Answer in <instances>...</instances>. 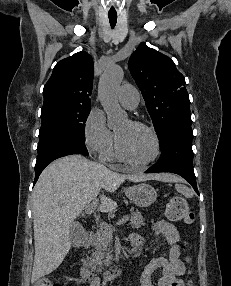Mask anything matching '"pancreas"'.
Wrapping results in <instances>:
<instances>
[{
  "mask_svg": "<svg viewBox=\"0 0 231 286\" xmlns=\"http://www.w3.org/2000/svg\"><path fill=\"white\" fill-rule=\"evenodd\" d=\"M130 225L132 228H140L144 225V218L139 212H132ZM110 225H100L96 230V233L91 237L92 246L95 248V251L92 252L88 266L92 270L101 271L104 266L110 264L111 256L107 252L108 243L112 239V231L109 229Z\"/></svg>",
  "mask_w": 231,
  "mask_h": 286,
  "instance_id": "1",
  "label": "pancreas"
}]
</instances>
